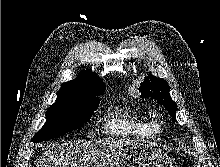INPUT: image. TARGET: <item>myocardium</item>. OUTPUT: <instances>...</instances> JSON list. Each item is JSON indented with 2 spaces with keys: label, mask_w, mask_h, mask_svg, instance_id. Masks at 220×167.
Returning a JSON list of instances; mask_svg holds the SVG:
<instances>
[{
  "label": "myocardium",
  "mask_w": 220,
  "mask_h": 167,
  "mask_svg": "<svg viewBox=\"0 0 220 167\" xmlns=\"http://www.w3.org/2000/svg\"><path fill=\"white\" fill-rule=\"evenodd\" d=\"M156 133H160L162 131V127L159 124H155Z\"/></svg>",
  "instance_id": "1"
}]
</instances>
